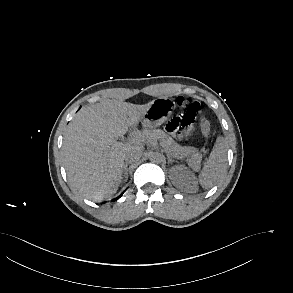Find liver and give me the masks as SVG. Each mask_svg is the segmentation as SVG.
<instances>
[{
	"label": "liver",
	"mask_w": 293,
	"mask_h": 293,
	"mask_svg": "<svg viewBox=\"0 0 293 293\" xmlns=\"http://www.w3.org/2000/svg\"><path fill=\"white\" fill-rule=\"evenodd\" d=\"M151 103L137 105L103 100L81 109L69 123L62 146L68 181L91 200L116 193L122 180L124 156L132 148L144 150L143 142H117L129 127L137 126Z\"/></svg>",
	"instance_id": "obj_1"
}]
</instances>
